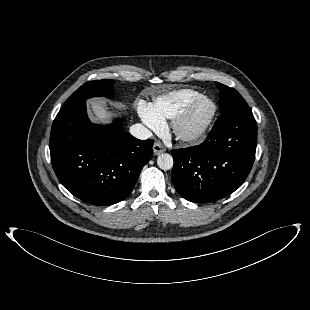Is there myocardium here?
I'll use <instances>...</instances> for the list:
<instances>
[{
  "mask_svg": "<svg viewBox=\"0 0 310 310\" xmlns=\"http://www.w3.org/2000/svg\"><path fill=\"white\" fill-rule=\"evenodd\" d=\"M202 102H208L211 105V111L206 117V119L203 121V123L195 130L191 132H187L184 129V124L187 121L191 111L193 108L202 103ZM217 115V104L216 102L208 97L201 95L192 101H190L183 109L182 111L173 119L172 123V131L175 135V137L186 144H197L199 143L205 135L208 133L209 129L211 128L215 117Z\"/></svg>",
  "mask_w": 310,
  "mask_h": 310,
  "instance_id": "myocardium-1",
  "label": "myocardium"
}]
</instances>
